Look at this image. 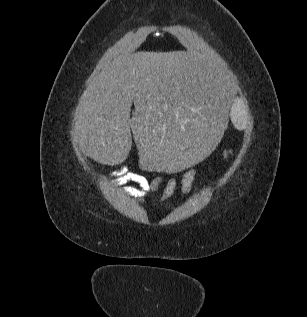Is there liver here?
Returning <instances> with one entry per match:
<instances>
[{
	"mask_svg": "<svg viewBox=\"0 0 307 317\" xmlns=\"http://www.w3.org/2000/svg\"><path fill=\"white\" fill-rule=\"evenodd\" d=\"M215 69L183 51L118 58L89 81L76 108L73 142L95 161L114 165L126 159L132 131L141 172L181 175L197 167L216 154L214 142L223 141L229 118L232 83Z\"/></svg>",
	"mask_w": 307,
	"mask_h": 317,
	"instance_id": "obj_1",
	"label": "liver"
}]
</instances>
